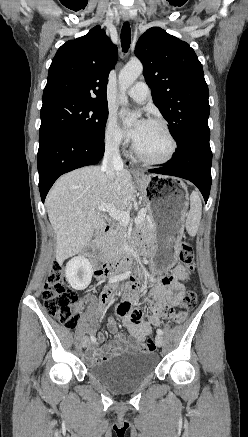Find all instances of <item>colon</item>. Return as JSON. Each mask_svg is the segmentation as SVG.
Instances as JSON below:
<instances>
[{
  "instance_id": "1",
  "label": "colon",
  "mask_w": 248,
  "mask_h": 437,
  "mask_svg": "<svg viewBox=\"0 0 248 437\" xmlns=\"http://www.w3.org/2000/svg\"><path fill=\"white\" fill-rule=\"evenodd\" d=\"M179 260L193 268L194 252L190 244L182 242L178 246ZM42 297L47 312L61 322L67 328L77 326L80 313L77 294L68 286L65 269L60 264L52 265L48 277L43 286ZM197 304V293L195 290L187 291L181 301L182 310L174 316V322L183 323L189 312ZM155 344L152 339H148L140 346L143 353L155 351Z\"/></svg>"
}]
</instances>
